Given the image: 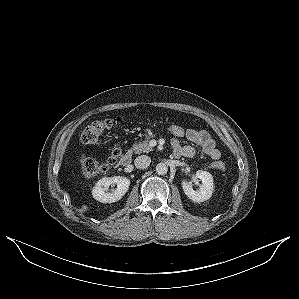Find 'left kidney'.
Wrapping results in <instances>:
<instances>
[{"instance_id":"5707ae66","label":"left kidney","mask_w":299,"mask_h":299,"mask_svg":"<svg viewBox=\"0 0 299 299\" xmlns=\"http://www.w3.org/2000/svg\"><path fill=\"white\" fill-rule=\"evenodd\" d=\"M196 177L202 181L199 190H194L192 184L186 180L182 181V189L186 196L194 202H203L210 199L213 192V177L203 170L196 172Z\"/></svg>"}]
</instances>
